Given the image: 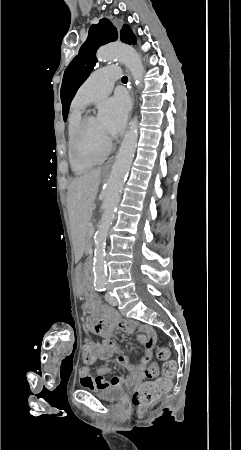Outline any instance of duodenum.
Masks as SVG:
<instances>
[{
	"label": "duodenum",
	"mask_w": 241,
	"mask_h": 450,
	"mask_svg": "<svg viewBox=\"0 0 241 450\" xmlns=\"http://www.w3.org/2000/svg\"><path fill=\"white\" fill-rule=\"evenodd\" d=\"M85 268H86L85 286L88 291H92L93 290V261L91 258L86 261Z\"/></svg>",
	"instance_id": "410a0bca"
}]
</instances>
